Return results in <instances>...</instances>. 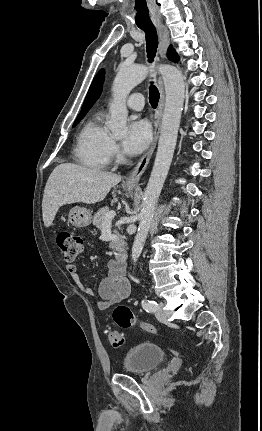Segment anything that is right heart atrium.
I'll use <instances>...</instances> for the list:
<instances>
[{
    "label": "right heart atrium",
    "instance_id": "1",
    "mask_svg": "<svg viewBox=\"0 0 262 431\" xmlns=\"http://www.w3.org/2000/svg\"><path fill=\"white\" fill-rule=\"evenodd\" d=\"M109 158H113L118 153V145L114 140H111L108 148Z\"/></svg>",
    "mask_w": 262,
    "mask_h": 431
}]
</instances>
